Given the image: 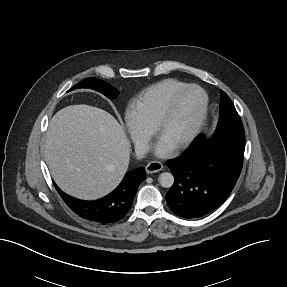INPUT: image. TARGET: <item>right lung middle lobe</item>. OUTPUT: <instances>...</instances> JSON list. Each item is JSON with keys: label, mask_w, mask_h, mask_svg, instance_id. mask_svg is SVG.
I'll return each instance as SVG.
<instances>
[{"label": "right lung middle lobe", "mask_w": 287, "mask_h": 287, "mask_svg": "<svg viewBox=\"0 0 287 287\" xmlns=\"http://www.w3.org/2000/svg\"><path fill=\"white\" fill-rule=\"evenodd\" d=\"M77 88H90V89L96 90L104 94L109 99H115L118 97V94H119V91L116 88H114L107 82L102 81L100 79H96V78H86L82 80L81 82H79L78 84H76L70 90L77 89Z\"/></svg>", "instance_id": "1"}]
</instances>
